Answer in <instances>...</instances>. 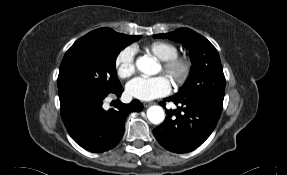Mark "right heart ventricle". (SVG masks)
Masks as SVG:
<instances>
[{
    "mask_svg": "<svg viewBox=\"0 0 287 175\" xmlns=\"http://www.w3.org/2000/svg\"><path fill=\"white\" fill-rule=\"evenodd\" d=\"M144 49L160 60L169 59L178 55V47L169 41L157 40L147 44Z\"/></svg>",
    "mask_w": 287,
    "mask_h": 175,
    "instance_id": "1",
    "label": "right heart ventricle"
}]
</instances>
